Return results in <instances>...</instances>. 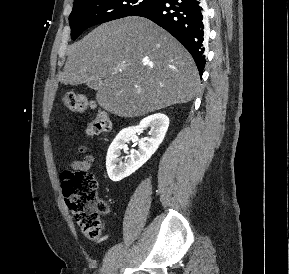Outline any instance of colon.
<instances>
[{
	"mask_svg": "<svg viewBox=\"0 0 289 274\" xmlns=\"http://www.w3.org/2000/svg\"><path fill=\"white\" fill-rule=\"evenodd\" d=\"M62 104L76 113L95 110L87 124L88 135H100L110 130L108 114L96 109L94 102L85 94L66 93ZM62 188L66 203L82 233L89 239H98L102 233L101 216L108 213V205L99 198L95 177L84 171L66 170L62 174Z\"/></svg>",
	"mask_w": 289,
	"mask_h": 274,
	"instance_id": "colon-1",
	"label": "colon"
}]
</instances>
